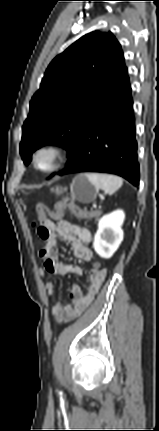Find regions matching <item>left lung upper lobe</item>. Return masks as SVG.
<instances>
[{
	"label": "left lung upper lobe",
	"mask_w": 159,
	"mask_h": 431,
	"mask_svg": "<svg viewBox=\"0 0 159 431\" xmlns=\"http://www.w3.org/2000/svg\"><path fill=\"white\" fill-rule=\"evenodd\" d=\"M128 76L119 42L112 33L84 35L56 56L30 102L20 154L27 165L46 144L69 154L84 125Z\"/></svg>",
	"instance_id": "1"
}]
</instances>
